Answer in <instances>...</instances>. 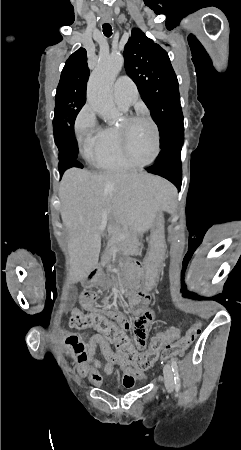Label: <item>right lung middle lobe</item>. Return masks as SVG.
Segmentation results:
<instances>
[{
  "mask_svg": "<svg viewBox=\"0 0 241 450\" xmlns=\"http://www.w3.org/2000/svg\"><path fill=\"white\" fill-rule=\"evenodd\" d=\"M86 87L87 81L62 82L57 87L53 131L59 149L58 168L61 175L72 167L67 155V131L86 102Z\"/></svg>",
  "mask_w": 241,
  "mask_h": 450,
  "instance_id": "obj_1",
  "label": "right lung middle lobe"
}]
</instances>
